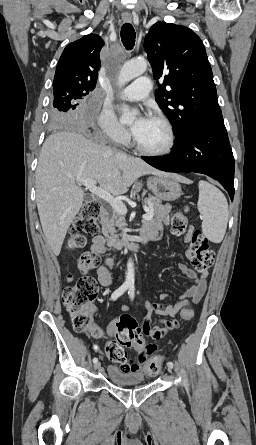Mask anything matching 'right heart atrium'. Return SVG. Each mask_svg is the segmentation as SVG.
<instances>
[{"label":"right heart atrium","instance_id":"obj_1","mask_svg":"<svg viewBox=\"0 0 256 445\" xmlns=\"http://www.w3.org/2000/svg\"><path fill=\"white\" fill-rule=\"evenodd\" d=\"M101 133L112 143L124 144L129 139L127 130L110 109L102 107L96 116Z\"/></svg>","mask_w":256,"mask_h":445}]
</instances>
